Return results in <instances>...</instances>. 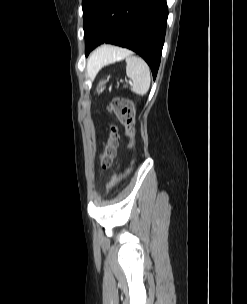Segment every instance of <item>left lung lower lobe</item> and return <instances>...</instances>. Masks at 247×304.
I'll use <instances>...</instances> for the list:
<instances>
[{
  "label": "left lung lower lobe",
  "instance_id": "1",
  "mask_svg": "<svg viewBox=\"0 0 247 304\" xmlns=\"http://www.w3.org/2000/svg\"><path fill=\"white\" fill-rule=\"evenodd\" d=\"M167 17L166 0H104L84 27L85 54L104 42L129 48L148 63L155 79Z\"/></svg>",
  "mask_w": 247,
  "mask_h": 304
}]
</instances>
